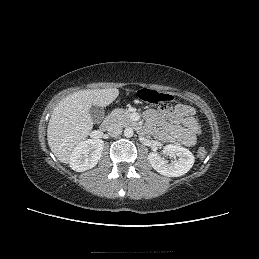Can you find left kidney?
<instances>
[{"mask_svg": "<svg viewBox=\"0 0 259 259\" xmlns=\"http://www.w3.org/2000/svg\"><path fill=\"white\" fill-rule=\"evenodd\" d=\"M162 154L176 156L177 160L169 163L164 156L154 152L149 153L148 160L158 173L168 177H179L186 174L195 162L193 154L180 145L168 144L164 147Z\"/></svg>", "mask_w": 259, "mask_h": 259, "instance_id": "5707ae66", "label": "left kidney"}]
</instances>
